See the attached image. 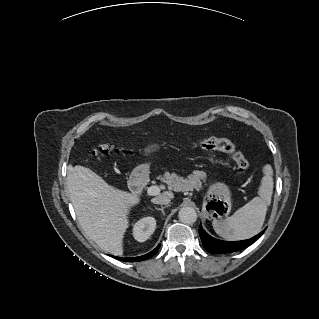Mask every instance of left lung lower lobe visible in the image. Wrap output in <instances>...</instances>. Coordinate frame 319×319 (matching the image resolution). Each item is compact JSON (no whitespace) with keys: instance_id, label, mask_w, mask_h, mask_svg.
<instances>
[{"instance_id":"0a47b994","label":"left lung lower lobe","mask_w":319,"mask_h":319,"mask_svg":"<svg viewBox=\"0 0 319 319\" xmlns=\"http://www.w3.org/2000/svg\"><path fill=\"white\" fill-rule=\"evenodd\" d=\"M263 232L264 231L248 240L227 242L211 237L202 229L201 226H199V235L202 240L203 246L211 254L231 253L247 248L252 243H254L263 234Z\"/></svg>"}]
</instances>
